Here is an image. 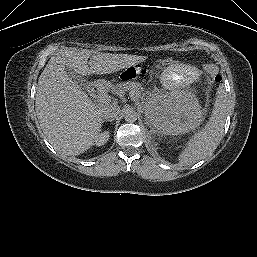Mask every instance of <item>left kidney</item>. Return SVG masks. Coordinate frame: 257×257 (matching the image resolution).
Instances as JSON below:
<instances>
[{
	"label": "left kidney",
	"instance_id": "5707ae66",
	"mask_svg": "<svg viewBox=\"0 0 257 257\" xmlns=\"http://www.w3.org/2000/svg\"><path fill=\"white\" fill-rule=\"evenodd\" d=\"M201 115L195 96L184 92L153 98L145 112L152 132L162 135H181L194 130L201 122Z\"/></svg>",
	"mask_w": 257,
	"mask_h": 257
}]
</instances>
